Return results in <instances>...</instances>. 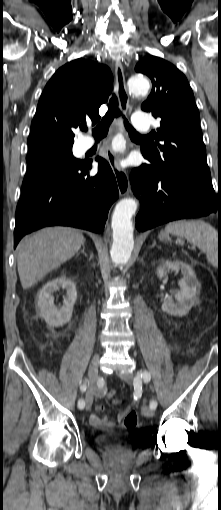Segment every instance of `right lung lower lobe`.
I'll return each mask as SVG.
<instances>
[{
    "mask_svg": "<svg viewBox=\"0 0 221 510\" xmlns=\"http://www.w3.org/2000/svg\"><path fill=\"white\" fill-rule=\"evenodd\" d=\"M98 173L90 177L91 161H82L69 176L35 180L22 189L16 208L14 247L39 228L72 226L102 233L107 214L119 192L106 160L97 157Z\"/></svg>",
    "mask_w": 221,
    "mask_h": 510,
    "instance_id": "98d812e1",
    "label": "right lung lower lobe"
}]
</instances>
